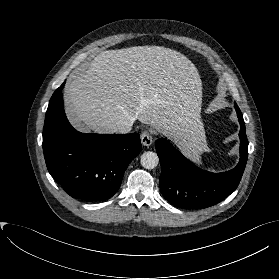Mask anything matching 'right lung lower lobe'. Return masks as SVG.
Wrapping results in <instances>:
<instances>
[{
    "label": "right lung lower lobe",
    "mask_w": 279,
    "mask_h": 279,
    "mask_svg": "<svg viewBox=\"0 0 279 279\" xmlns=\"http://www.w3.org/2000/svg\"><path fill=\"white\" fill-rule=\"evenodd\" d=\"M63 86L54 92L45 116L43 152L48 171L75 199L108 200L116 194L127 166L142 149L140 135L76 131L64 113Z\"/></svg>",
    "instance_id": "1"
}]
</instances>
